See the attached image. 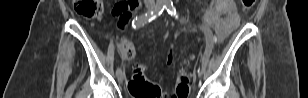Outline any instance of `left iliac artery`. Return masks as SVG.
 I'll list each match as a JSON object with an SVG mask.
<instances>
[{"mask_svg": "<svg viewBox=\"0 0 308 98\" xmlns=\"http://www.w3.org/2000/svg\"><path fill=\"white\" fill-rule=\"evenodd\" d=\"M166 10L167 12L175 17V18H178V14H177V11H176V8L174 7L173 3L172 2H167L166 3ZM197 29L198 30H201V31H204V34L206 35V39H207V45L205 47V50H204V59L202 60V66L203 68H205L206 66V61H209V56L211 54V51H212V46L214 45V36L212 33H210V29H211V26L210 25H206V24H201V25H198L197 26Z\"/></svg>", "mask_w": 308, "mask_h": 98, "instance_id": "1", "label": "left iliac artery"}]
</instances>
